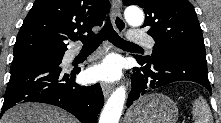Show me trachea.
I'll return each mask as SVG.
<instances>
[{
	"label": "trachea",
	"instance_id": "1",
	"mask_svg": "<svg viewBox=\"0 0 221 123\" xmlns=\"http://www.w3.org/2000/svg\"><path fill=\"white\" fill-rule=\"evenodd\" d=\"M108 39L111 43L118 47H134V43L128 42L121 38L113 29L111 22L108 20L103 29L93 36H80L79 40L82 41L83 47L97 48L104 40Z\"/></svg>",
	"mask_w": 221,
	"mask_h": 123
}]
</instances>
